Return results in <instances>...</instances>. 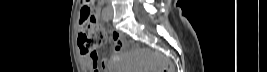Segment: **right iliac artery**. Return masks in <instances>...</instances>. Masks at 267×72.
I'll return each mask as SVG.
<instances>
[{
	"label": "right iliac artery",
	"instance_id": "right-iliac-artery-1",
	"mask_svg": "<svg viewBox=\"0 0 267 72\" xmlns=\"http://www.w3.org/2000/svg\"><path fill=\"white\" fill-rule=\"evenodd\" d=\"M102 16H103V19L105 21H109L110 19V14H109V10L107 8H104L103 11H102Z\"/></svg>",
	"mask_w": 267,
	"mask_h": 72
}]
</instances>
